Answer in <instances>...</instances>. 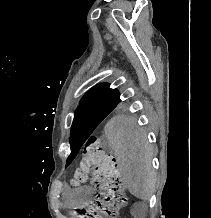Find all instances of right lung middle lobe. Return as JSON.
Listing matches in <instances>:
<instances>
[{"mask_svg":"<svg viewBox=\"0 0 211 218\" xmlns=\"http://www.w3.org/2000/svg\"><path fill=\"white\" fill-rule=\"evenodd\" d=\"M121 101H100L80 104L75 112L72 129L71 141L88 138L101 121L113 110H118Z\"/></svg>","mask_w":211,"mask_h":218,"instance_id":"obj_1","label":"right lung middle lobe"}]
</instances>
